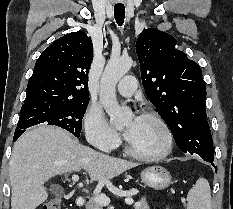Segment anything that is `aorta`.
Here are the masks:
<instances>
[{
	"instance_id": "1",
	"label": "aorta",
	"mask_w": 233,
	"mask_h": 209,
	"mask_svg": "<svg viewBox=\"0 0 233 209\" xmlns=\"http://www.w3.org/2000/svg\"><path fill=\"white\" fill-rule=\"evenodd\" d=\"M131 58L110 59L107 63L100 84V101L117 129H122L131 117L127 107H120L116 99V85L130 70Z\"/></svg>"
}]
</instances>
